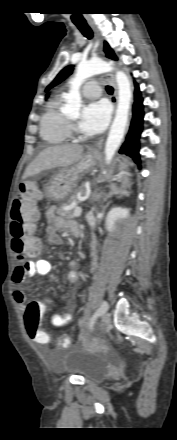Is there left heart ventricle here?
<instances>
[{
	"mask_svg": "<svg viewBox=\"0 0 177 440\" xmlns=\"http://www.w3.org/2000/svg\"><path fill=\"white\" fill-rule=\"evenodd\" d=\"M70 118H71L72 120H76L77 117H75V116H71Z\"/></svg>",
	"mask_w": 177,
	"mask_h": 440,
	"instance_id": "1",
	"label": "left heart ventricle"
}]
</instances>
